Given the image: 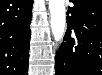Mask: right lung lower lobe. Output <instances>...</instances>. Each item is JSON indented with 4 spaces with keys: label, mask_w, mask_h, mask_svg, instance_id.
<instances>
[{
    "label": "right lung lower lobe",
    "mask_w": 102,
    "mask_h": 75,
    "mask_svg": "<svg viewBox=\"0 0 102 75\" xmlns=\"http://www.w3.org/2000/svg\"><path fill=\"white\" fill-rule=\"evenodd\" d=\"M32 3L0 1V75H28Z\"/></svg>",
    "instance_id": "98d812e1"
}]
</instances>
